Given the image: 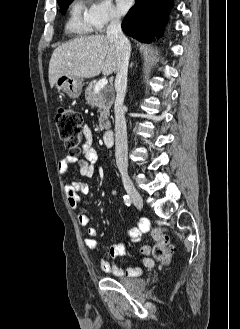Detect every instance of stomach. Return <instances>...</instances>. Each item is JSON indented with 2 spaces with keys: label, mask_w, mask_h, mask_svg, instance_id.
I'll return each mask as SVG.
<instances>
[{
  "label": "stomach",
  "mask_w": 240,
  "mask_h": 329,
  "mask_svg": "<svg viewBox=\"0 0 240 329\" xmlns=\"http://www.w3.org/2000/svg\"><path fill=\"white\" fill-rule=\"evenodd\" d=\"M55 88L60 92H65L70 98H78L82 92L83 82L79 77L69 75L59 76L54 84Z\"/></svg>",
  "instance_id": "obj_1"
}]
</instances>
